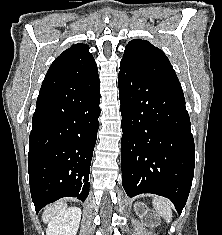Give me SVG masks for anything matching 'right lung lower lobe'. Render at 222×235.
<instances>
[{"label": "right lung lower lobe", "instance_id": "obj_1", "mask_svg": "<svg viewBox=\"0 0 222 235\" xmlns=\"http://www.w3.org/2000/svg\"><path fill=\"white\" fill-rule=\"evenodd\" d=\"M99 104L98 71L68 82L43 81L28 155L30 191L37 213L62 197L87 198Z\"/></svg>", "mask_w": 222, "mask_h": 235}]
</instances>
